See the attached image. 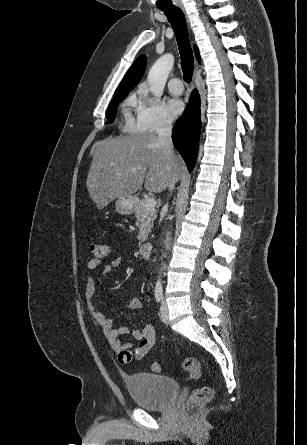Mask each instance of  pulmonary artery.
Masks as SVG:
<instances>
[{
	"mask_svg": "<svg viewBox=\"0 0 307 445\" xmlns=\"http://www.w3.org/2000/svg\"><path fill=\"white\" fill-rule=\"evenodd\" d=\"M180 79V75L178 73H172L171 75V79L169 81L168 84V88L169 91L173 94V95H180L183 92V84L181 81H175V80H179Z\"/></svg>",
	"mask_w": 307,
	"mask_h": 445,
	"instance_id": "e3ab8cb5",
	"label": "pulmonary artery"
}]
</instances>
